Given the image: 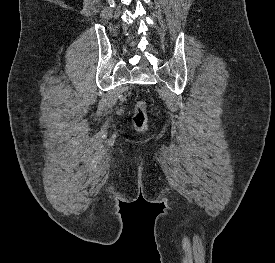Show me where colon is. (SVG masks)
<instances>
[{
    "mask_svg": "<svg viewBox=\"0 0 275 263\" xmlns=\"http://www.w3.org/2000/svg\"><path fill=\"white\" fill-rule=\"evenodd\" d=\"M132 121L137 131L142 132L148 128L147 104L144 100L136 102Z\"/></svg>",
    "mask_w": 275,
    "mask_h": 263,
    "instance_id": "5ec220e1",
    "label": "colon"
}]
</instances>
